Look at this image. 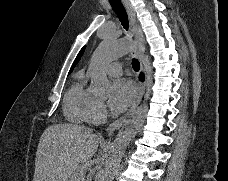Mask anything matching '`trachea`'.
I'll list each match as a JSON object with an SVG mask.
<instances>
[{
    "mask_svg": "<svg viewBox=\"0 0 228 181\" xmlns=\"http://www.w3.org/2000/svg\"><path fill=\"white\" fill-rule=\"evenodd\" d=\"M113 10L115 11L118 19L121 22V25L125 30H128L129 28V21H128V15L126 13L125 8L123 7V4L121 0H109ZM132 68L134 71H139L140 69V64L139 61L136 58H133L132 60Z\"/></svg>",
    "mask_w": 228,
    "mask_h": 181,
    "instance_id": "obj_1",
    "label": "trachea"
}]
</instances>
